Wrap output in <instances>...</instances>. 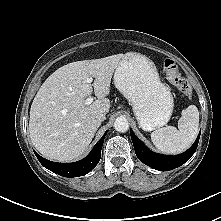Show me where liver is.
Segmentation results:
<instances>
[{
	"mask_svg": "<svg viewBox=\"0 0 221 221\" xmlns=\"http://www.w3.org/2000/svg\"><path fill=\"white\" fill-rule=\"evenodd\" d=\"M123 56L72 62L45 80L32 102L29 120L31 142L44 157L67 162L84 153L101 124L96 116L110 110L106 96ZM91 77L93 85L87 82ZM93 89L97 100L85 105Z\"/></svg>",
	"mask_w": 221,
	"mask_h": 221,
	"instance_id": "1",
	"label": "liver"
}]
</instances>
